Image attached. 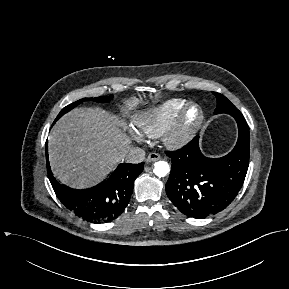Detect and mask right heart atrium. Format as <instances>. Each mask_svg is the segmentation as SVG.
<instances>
[{"label": "right heart atrium", "mask_w": 289, "mask_h": 289, "mask_svg": "<svg viewBox=\"0 0 289 289\" xmlns=\"http://www.w3.org/2000/svg\"><path fill=\"white\" fill-rule=\"evenodd\" d=\"M131 134L137 141L141 142L143 140L141 134L138 133L137 131L131 130Z\"/></svg>", "instance_id": "1"}]
</instances>
